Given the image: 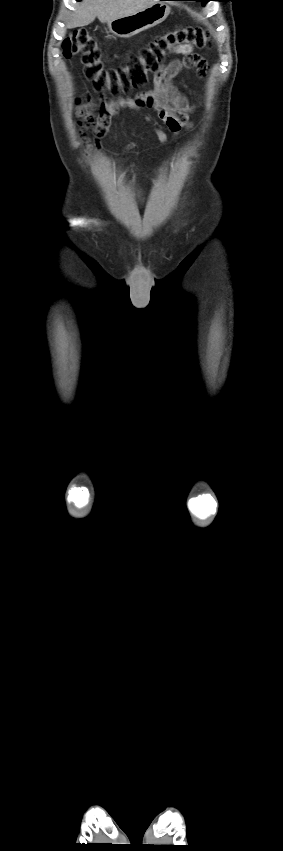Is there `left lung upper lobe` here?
<instances>
[{"label": "left lung upper lobe", "mask_w": 283, "mask_h": 851, "mask_svg": "<svg viewBox=\"0 0 283 851\" xmlns=\"http://www.w3.org/2000/svg\"><path fill=\"white\" fill-rule=\"evenodd\" d=\"M193 1H201V2H202V4H203V5H205V3H206L207 1H210V0H193Z\"/></svg>", "instance_id": "1"}]
</instances>
